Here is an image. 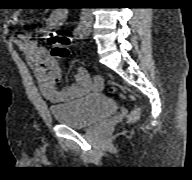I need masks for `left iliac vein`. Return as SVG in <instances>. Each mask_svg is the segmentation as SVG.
<instances>
[{
    "mask_svg": "<svg viewBox=\"0 0 192 180\" xmlns=\"http://www.w3.org/2000/svg\"><path fill=\"white\" fill-rule=\"evenodd\" d=\"M84 34L86 35V36H88L89 34H90V30L88 29V30H84Z\"/></svg>",
    "mask_w": 192,
    "mask_h": 180,
    "instance_id": "4c4485c4",
    "label": "left iliac vein"
}]
</instances>
